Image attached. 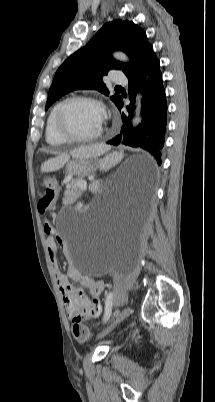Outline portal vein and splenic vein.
Wrapping results in <instances>:
<instances>
[{
	"mask_svg": "<svg viewBox=\"0 0 215 402\" xmlns=\"http://www.w3.org/2000/svg\"><path fill=\"white\" fill-rule=\"evenodd\" d=\"M78 185H79V187H80L81 189H83V190H86V188H87L86 182H81V183H79Z\"/></svg>",
	"mask_w": 215,
	"mask_h": 402,
	"instance_id": "obj_1",
	"label": "portal vein and splenic vein"
}]
</instances>
